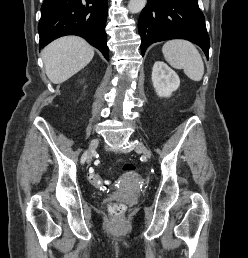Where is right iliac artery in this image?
Returning <instances> with one entry per match:
<instances>
[{
    "label": "right iliac artery",
    "instance_id": "82829eb1",
    "mask_svg": "<svg viewBox=\"0 0 248 258\" xmlns=\"http://www.w3.org/2000/svg\"><path fill=\"white\" fill-rule=\"evenodd\" d=\"M87 155H88V152H87V151L84 152V154H83L82 157H81V163H84V162H85V160H86V158H87Z\"/></svg>",
    "mask_w": 248,
    "mask_h": 258
}]
</instances>
